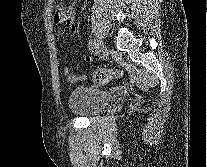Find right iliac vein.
Listing matches in <instances>:
<instances>
[{
	"label": "right iliac vein",
	"instance_id": "obj_1",
	"mask_svg": "<svg viewBox=\"0 0 207 167\" xmlns=\"http://www.w3.org/2000/svg\"><path fill=\"white\" fill-rule=\"evenodd\" d=\"M94 49H95L96 56H100L103 53L105 46H104L103 40L100 37L96 38Z\"/></svg>",
	"mask_w": 207,
	"mask_h": 167
}]
</instances>
